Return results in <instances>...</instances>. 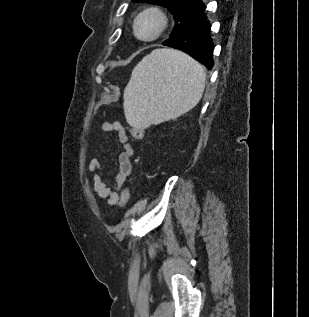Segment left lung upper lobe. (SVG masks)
<instances>
[{
	"mask_svg": "<svg viewBox=\"0 0 309 317\" xmlns=\"http://www.w3.org/2000/svg\"><path fill=\"white\" fill-rule=\"evenodd\" d=\"M134 2H146L149 4L167 7L173 14L175 26L170 37L185 28L189 19L196 10L204 5L201 0H132Z\"/></svg>",
	"mask_w": 309,
	"mask_h": 317,
	"instance_id": "1",
	"label": "left lung upper lobe"
}]
</instances>
